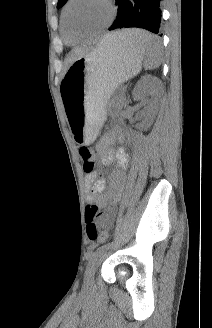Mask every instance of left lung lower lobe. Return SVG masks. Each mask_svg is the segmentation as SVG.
<instances>
[{
	"mask_svg": "<svg viewBox=\"0 0 212 328\" xmlns=\"http://www.w3.org/2000/svg\"><path fill=\"white\" fill-rule=\"evenodd\" d=\"M118 5L116 20L109 30L138 27L159 34L161 21L160 0H115ZM147 45L159 44L157 37L146 42Z\"/></svg>",
	"mask_w": 212,
	"mask_h": 328,
	"instance_id": "1",
	"label": "left lung lower lobe"
}]
</instances>
